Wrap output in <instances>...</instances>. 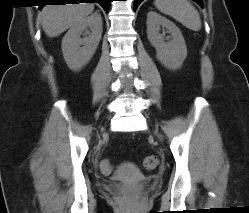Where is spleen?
Listing matches in <instances>:
<instances>
[{"mask_svg": "<svg viewBox=\"0 0 249 213\" xmlns=\"http://www.w3.org/2000/svg\"><path fill=\"white\" fill-rule=\"evenodd\" d=\"M154 4L159 11L173 17L188 29H201L200 15L188 0H155Z\"/></svg>", "mask_w": 249, "mask_h": 213, "instance_id": "3e777b00", "label": "spleen"}]
</instances>
